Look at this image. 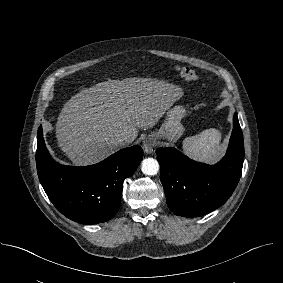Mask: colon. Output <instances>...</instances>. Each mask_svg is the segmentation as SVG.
I'll return each instance as SVG.
<instances>
[{
  "instance_id": "5ec220e1",
  "label": "colon",
  "mask_w": 283,
  "mask_h": 283,
  "mask_svg": "<svg viewBox=\"0 0 283 283\" xmlns=\"http://www.w3.org/2000/svg\"><path fill=\"white\" fill-rule=\"evenodd\" d=\"M175 70L179 73V75L182 78H184L187 81L195 82L198 80L197 73L189 67L177 65L175 66Z\"/></svg>"
}]
</instances>
